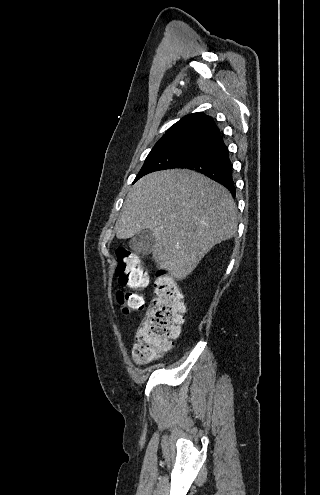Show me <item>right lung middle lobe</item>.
Masks as SVG:
<instances>
[{"mask_svg": "<svg viewBox=\"0 0 320 495\" xmlns=\"http://www.w3.org/2000/svg\"><path fill=\"white\" fill-rule=\"evenodd\" d=\"M205 143L204 140L185 139L155 145L134 182L148 173L181 166Z\"/></svg>", "mask_w": 320, "mask_h": 495, "instance_id": "obj_1", "label": "right lung middle lobe"}]
</instances>
